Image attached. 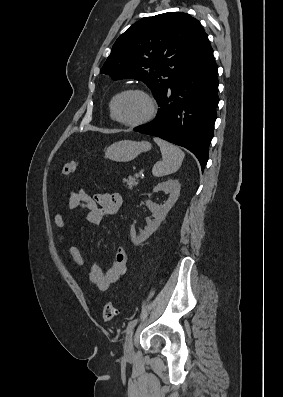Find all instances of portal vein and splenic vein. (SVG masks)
Segmentation results:
<instances>
[{
	"instance_id": "18ae733b",
	"label": "portal vein and splenic vein",
	"mask_w": 283,
	"mask_h": 397,
	"mask_svg": "<svg viewBox=\"0 0 283 397\" xmlns=\"http://www.w3.org/2000/svg\"><path fill=\"white\" fill-rule=\"evenodd\" d=\"M135 177L139 178L140 177V173H135Z\"/></svg>"
}]
</instances>
